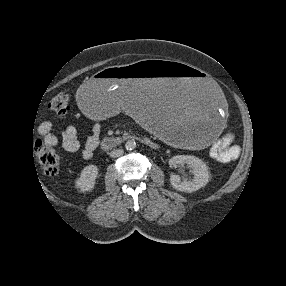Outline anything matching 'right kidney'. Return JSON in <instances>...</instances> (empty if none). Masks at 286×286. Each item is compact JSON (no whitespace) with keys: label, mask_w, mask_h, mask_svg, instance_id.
I'll return each instance as SVG.
<instances>
[{"label":"right kidney","mask_w":286,"mask_h":286,"mask_svg":"<svg viewBox=\"0 0 286 286\" xmlns=\"http://www.w3.org/2000/svg\"><path fill=\"white\" fill-rule=\"evenodd\" d=\"M98 175V167L95 165L86 166L80 174L76 182L77 188L81 192L91 191L95 186V181Z\"/></svg>","instance_id":"1"}]
</instances>
